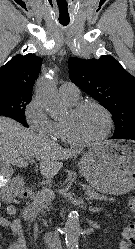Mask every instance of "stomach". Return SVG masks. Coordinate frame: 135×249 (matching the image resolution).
<instances>
[{
  "mask_svg": "<svg viewBox=\"0 0 135 249\" xmlns=\"http://www.w3.org/2000/svg\"><path fill=\"white\" fill-rule=\"evenodd\" d=\"M79 168L89 185L120 195L135 189V142L105 141L88 150Z\"/></svg>",
  "mask_w": 135,
  "mask_h": 249,
  "instance_id": "1",
  "label": "stomach"
}]
</instances>
